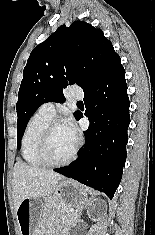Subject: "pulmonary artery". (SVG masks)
Wrapping results in <instances>:
<instances>
[{"label": "pulmonary artery", "instance_id": "e3ab8cb5", "mask_svg": "<svg viewBox=\"0 0 155 235\" xmlns=\"http://www.w3.org/2000/svg\"><path fill=\"white\" fill-rule=\"evenodd\" d=\"M70 94L76 99H82L84 96L83 90L78 87L72 88ZM39 110L49 116H53L55 114V105L53 102H46L40 106Z\"/></svg>", "mask_w": 155, "mask_h": 235}]
</instances>
